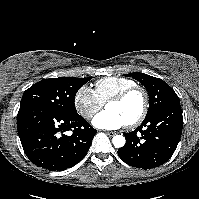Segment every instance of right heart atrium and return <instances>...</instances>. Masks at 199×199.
Wrapping results in <instances>:
<instances>
[{"mask_svg": "<svg viewBox=\"0 0 199 199\" xmlns=\"http://www.w3.org/2000/svg\"><path fill=\"white\" fill-rule=\"evenodd\" d=\"M74 105L78 113L86 120H91L103 108V103L94 90L87 85H83L77 90L74 96Z\"/></svg>", "mask_w": 199, "mask_h": 199, "instance_id": "d8ad5b80", "label": "right heart atrium"}]
</instances>
